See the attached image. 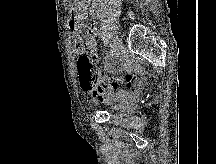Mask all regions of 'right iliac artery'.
Instances as JSON below:
<instances>
[{"mask_svg":"<svg viewBox=\"0 0 216 164\" xmlns=\"http://www.w3.org/2000/svg\"><path fill=\"white\" fill-rule=\"evenodd\" d=\"M114 47L111 45V49H110V52H109V57L112 59L114 56Z\"/></svg>","mask_w":216,"mask_h":164,"instance_id":"obj_1","label":"right iliac artery"}]
</instances>
